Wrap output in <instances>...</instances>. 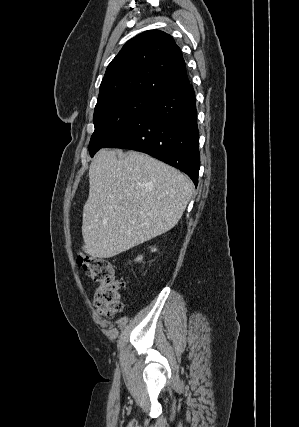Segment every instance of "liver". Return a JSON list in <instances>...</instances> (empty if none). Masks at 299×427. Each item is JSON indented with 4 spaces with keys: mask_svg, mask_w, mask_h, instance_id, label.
Returning <instances> with one entry per match:
<instances>
[{
    "mask_svg": "<svg viewBox=\"0 0 299 427\" xmlns=\"http://www.w3.org/2000/svg\"><path fill=\"white\" fill-rule=\"evenodd\" d=\"M193 190L187 176L151 156L100 150L89 168L83 251L110 258L169 231Z\"/></svg>",
    "mask_w": 299,
    "mask_h": 427,
    "instance_id": "1",
    "label": "liver"
}]
</instances>
